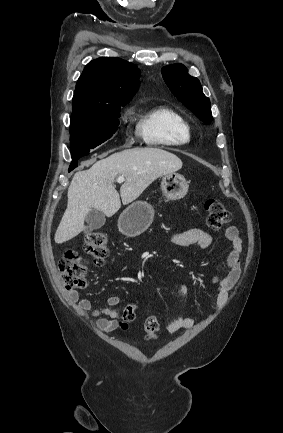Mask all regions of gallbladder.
<instances>
[{
	"label": "gallbladder",
	"instance_id": "bac80fb5",
	"mask_svg": "<svg viewBox=\"0 0 283 433\" xmlns=\"http://www.w3.org/2000/svg\"><path fill=\"white\" fill-rule=\"evenodd\" d=\"M85 221L87 223V227H85L84 233H91L94 229H101L103 225H105V214L102 210H97V208H91L89 212H87Z\"/></svg>",
	"mask_w": 283,
	"mask_h": 433
}]
</instances>
